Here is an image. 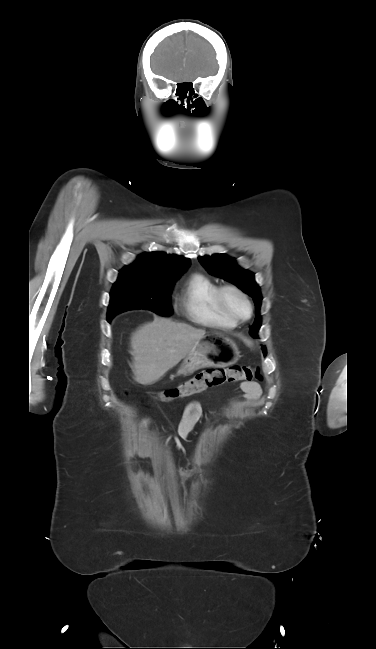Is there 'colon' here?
I'll use <instances>...</instances> for the list:
<instances>
[{
    "instance_id": "1",
    "label": "colon",
    "mask_w": 376,
    "mask_h": 649,
    "mask_svg": "<svg viewBox=\"0 0 376 649\" xmlns=\"http://www.w3.org/2000/svg\"><path fill=\"white\" fill-rule=\"evenodd\" d=\"M254 379H261V374L257 369L247 365L235 364L226 368H206L188 380L161 391L158 398L163 402H169L193 396L225 382H249Z\"/></svg>"
}]
</instances>
